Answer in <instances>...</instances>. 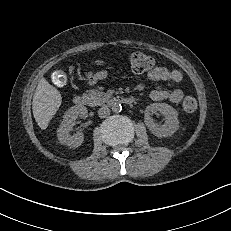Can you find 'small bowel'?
<instances>
[{
	"mask_svg": "<svg viewBox=\"0 0 231 231\" xmlns=\"http://www.w3.org/2000/svg\"><path fill=\"white\" fill-rule=\"evenodd\" d=\"M149 80L153 82H173L179 83L182 80V74L178 70H170L163 66L153 67L147 74ZM108 77V72L100 70L96 72H88L85 74V79L88 84H93L97 81L104 80ZM153 101L169 100L172 103H179L184 93L181 89L174 90H152L148 94Z\"/></svg>",
	"mask_w": 231,
	"mask_h": 231,
	"instance_id": "c3829d8e",
	"label": "small bowel"
}]
</instances>
